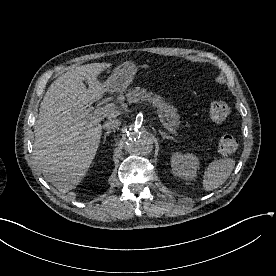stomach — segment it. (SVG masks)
Wrapping results in <instances>:
<instances>
[{"mask_svg":"<svg viewBox=\"0 0 276 276\" xmlns=\"http://www.w3.org/2000/svg\"><path fill=\"white\" fill-rule=\"evenodd\" d=\"M138 68V65L133 61H125L119 64L104 83L105 91L124 92L134 80Z\"/></svg>","mask_w":276,"mask_h":276,"instance_id":"1","label":"stomach"}]
</instances>
